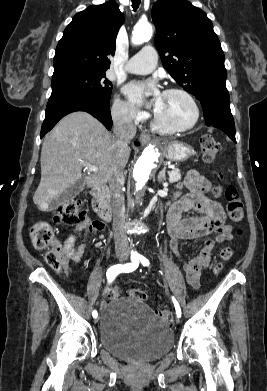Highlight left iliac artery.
Listing matches in <instances>:
<instances>
[{"instance_id": "obj_1", "label": "left iliac artery", "mask_w": 267, "mask_h": 391, "mask_svg": "<svg viewBox=\"0 0 267 391\" xmlns=\"http://www.w3.org/2000/svg\"><path fill=\"white\" fill-rule=\"evenodd\" d=\"M137 258H139V260L141 261V263L144 266H148L149 265L148 259H146L144 256L137 255ZM172 300H173V303H174V306H175V310H176L177 316L181 317V309H180V306H179L178 302L176 301V299L174 297H172Z\"/></svg>"}]
</instances>
